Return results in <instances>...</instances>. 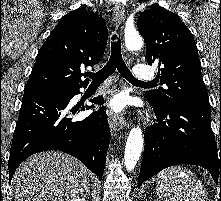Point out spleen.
Wrapping results in <instances>:
<instances>
[{
	"mask_svg": "<svg viewBox=\"0 0 221 201\" xmlns=\"http://www.w3.org/2000/svg\"><path fill=\"white\" fill-rule=\"evenodd\" d=\"M156 192L164 201H207L202 182L183 166L162 170L156 178Z\"/></svg>",
	"mask_w": 221,
	"mask_h": 201,
	"instance_id": "spleen-1",
	"label": "spleen"
}]
</instances>
